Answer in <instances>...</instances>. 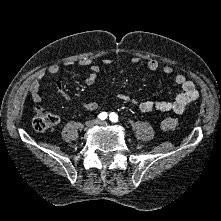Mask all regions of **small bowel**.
Wrapping results in <instances>:
<instances>
[{"instance_id":"obj_1","label":"small bowel","mask_w":221,"mask_h":221,"mask_svg":"<svg viewBox=\"0 0 221 221\" xmlns=\"http://www.w3.org/2000/svg\"><path fill=\"white\" fill-rule=\"evenodd\" d=\"M133 62H138V58H133ZM103 63L106 65L113 64L114 61L111 59H104ZM78 64L83 67H88L90 73L85 80V84L87 86H91L95 83L98 73L100 71V67L93 62L90 58H81L78 61ZM148 69L152 71H156L161 69L165 75H171L173 73V69L170 66H162L159 61L156 59H149L147 61ZM59 66L56 64L50 65L46 72H41L37 75V77L32 81V83L28 87V92L31 95L32 101L36 106H39L42 98L40 95V87L44 81L46 73L49 75H57L59 73ZM174 82L181 87V92L176 96L174 100H138L135 97H132L128 94H120L118 95V99L122 102L129 103L131 105H136L143 112L150 111H173L175 113H182L186 107L194 102L198 97V92L194 83L186 78L184 74H175ZM55 89L57 93L67 100H71V96L66 91L63 83L61 81H55L54 83ZM83 107L87 110L94 111L98 108L97 103L95 102H85L83 103ZM58 120L59 117L57 116Z\"/></svg>"}]
</instances>
